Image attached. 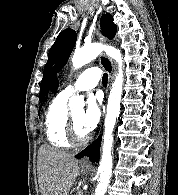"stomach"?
<instances>
[{
  "instance_id": "1",
  "label": "stomach",
  "mask_w": 178,
  "mask_h": 195,
  "mask_svg": "<svg viewBox=\"0 0 178 195\" xmlns=\"http://www.w3.org/2000/svg\"><path fill=\"white\" fill-rule=\"evenodd\" d=\"M81 172H82V173H86V172H87V170H85V169H82V170H81Z\"/></svg>"
}]
</instances>
